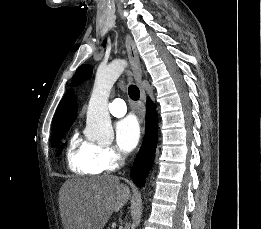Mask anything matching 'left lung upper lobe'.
<instances>
[{
  "label": "left lung upper lobe",
  "instance_id": "5c2ea615",
  "mask_svg": "<svg viewBox=\"0 0 261 229\" xmlns=\"http://www.w3.org/2000/svg\"><path fill=\"white\" fill-rule=\"evenodd\" d=\"M92 74V68L90 65H81L72 80V84L78 85L83 81L87 80Z\"/></svg>",
  "mask_w": 261,
  "mask_h": 229
}]
</instances>
